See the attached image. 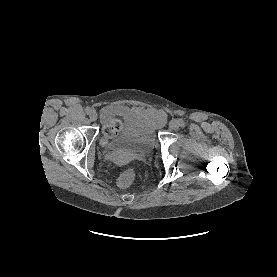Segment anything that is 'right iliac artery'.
<instances>
[{
    "label": "right iliac artery",
    "instance_id": "right-iliac-artery-1",
    "mask_svg": "<svg viewBox=\"0 0 277 277\" xmlns=\"http://www.w3.org/2000/svg\"><path fill=\"white\" fill-rule=\"evenodd\" d=\"M85 112H86V114H90L91 112H92V109L91 108H89V107H87L86 109H85Z\"/></svg>",
    "mask_w": 277,
    "mask_h": 277
}]
</instances>
